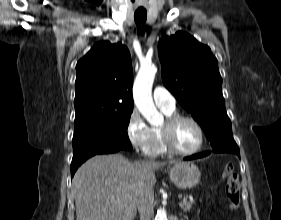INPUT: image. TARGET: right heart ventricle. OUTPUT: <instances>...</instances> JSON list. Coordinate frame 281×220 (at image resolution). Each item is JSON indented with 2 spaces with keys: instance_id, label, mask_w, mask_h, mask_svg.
<instances>
[{
  "instance_id": "1",
  "label": "right heart ventricle",
  "mask_w": 281,
  "mask_h": 220,
  "mask_svg": "<svg viewBox=\"0 0 281 220\" xmlns=\"http://www.w3.org/2000/svg\"><path fill=\"white\" fill-rule=\"evenodd\" d=\"M161 110L168 117L173 115V111H167L164 109ZM150 131H151V143L146 154L150 156H160V155L167 154L168 151L164 147L161 139L160 128L154 127L151 128Z\"/></svg>"
}]
</instances>
